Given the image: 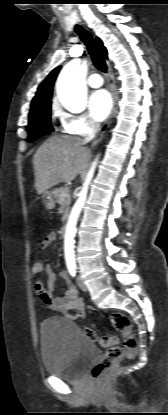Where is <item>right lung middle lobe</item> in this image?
<instances>
[{
	"instance_id": "obj_1",
	"label": "right lung middle lobe",
	"mask_w": 168,
	"mask_h": 415,
	"mask_svg": "<svg viewBox=\"0 0 168 415\" xmlns=\"http://www.w3.org/2000/svg\"><path fill=\"white\" fill-rule=\"evenodd\" d=\"M51 104L40 107L29 113L28 134L29 142L35 141L37 138L51 133L53 131L50 116Z\"/></svg>"
}]
</instances>
